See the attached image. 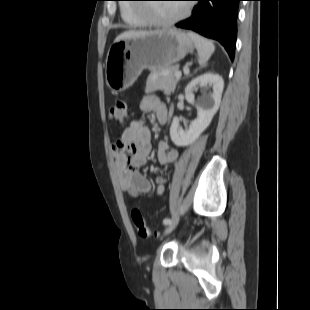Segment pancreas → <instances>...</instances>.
I'll return each instance as SVG.
<instances>
[{"label": "pancreas", "instance_id": "pancreas-1", "mask_svg": "<svg viewBox=\"0 0 310 310\" xmlns=\"http://www.w3.org/2000/svg\"><path fill=\"white\" fill-rule=\"evenodd\" d=\"M178 71V66H170L160 71H152L146 82V93H152L157 90L164 92L166 96L174 93L179 78L174 76Z\"/></svg>", "mask_w": 310, "mask_h": 310}]
</instances>
